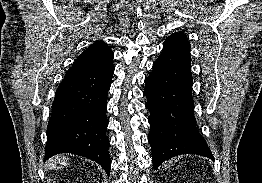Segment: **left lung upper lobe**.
I'll use <instances>...</instances> for the list:
<instances>
[{
    "mask_svg": "<svg viewBox=\"0 0 262 183\" xmlns=\"http://www.w3.org/2000/svg\"><path fill=\"white\" fill-rule=\"evenodd\" d=\"M163 49L182 52L190 55V43L186 35L182 32H175L163 43Z\"/></svg>",
    "mask_w": 262,
    "mask_h": 183,
    "instance_id": "obj_1",
    "label": "left lung upper lobe"
}]
</instances>
